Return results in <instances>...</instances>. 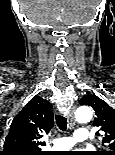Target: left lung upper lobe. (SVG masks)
<instances>
[{"label":"left lung upper lobe","instance_id":"5c2ea615","mask_svg":"<svg viewBox=\"0 0 115 155\" xmlns=\"http://www.w3.org/2000/svg\"><path fill=\"white\" fill-rule=\"evenodd\" d=\"M81 105H88L95 111L94 126L100 127L103 145L106 151L94 155H115V110L96 95L87 94L80 100Z\"/></svg>","mask_w":115,"mask_h":155}]
</instances>
